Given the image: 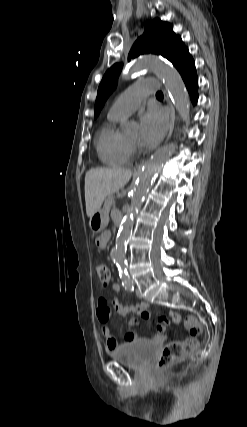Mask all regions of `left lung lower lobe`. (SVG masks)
Instances as JSON below:
<instances>
[{"mask_svg": "<svg viewBox=\"0 0 247 427\" xmlns=\"http://www.w3.org/2000/svg\"><path fill=\"white\" fill-rule=\"evenodd\" d=\"M177 70L179 71L185 82L192 103L195 105L198 100V78L196 74L195 63L192 57H190L181 65H179Z\"/></svg>", "mask_w": 247, "mask_h": 427, "instance_id": "0a47b994", "label": "left lung lower lobe"}]
</instances>
